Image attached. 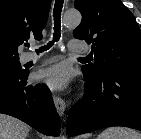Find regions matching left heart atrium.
Here are the masks:
<instances>
[{
    "label": "left heart atrium",
    "instance_id": "left-heart-atrium-1",
    "mask_svg": "<svg viewBox=\"0 0 141 139\" xmlns=\"http://www.w3.org/2000/svg\"><path fill=\"white\" fill-rule=\"evenodd\" d=\"M37 81L51 90H63L70 81V71L64 64H57L38 71L35 75Z\"/></svg>",
    "mask_w": 141,
    "mask_h": 139
}]
</instances>
